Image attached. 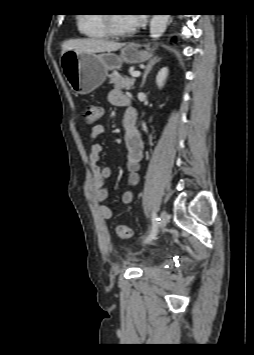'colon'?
Here are the masks:
<instances>
[{
    "label": "colon",
    "mask_w": 254,
    "mask_h": 355,
    "mask_svg": "<svg viewBox=\"0 0 254 355\" xmlns=\"http://www.w3.org/2000/svg\"><path fill=\"white\" fill-rule=\"evenodd\" d=\"M101 115V108L96 105H90L85 111V121L89 126H94L98 122ZM116 234L122 239H127L132 236L131 228L128 225L119 224L116 226Z\"/></svg>",
    "instance_id": "5ec220e1"
}]
</instances>
